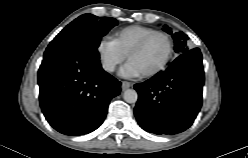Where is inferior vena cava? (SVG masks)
<instances>
[{"label": "inferior vena cava", "instance_id": "inferior-vena-cava-1", "mask_svg": "<svg viewBox=\"0 0 248 158\" xmlns=\"http://www.w3.org/2000/svg\"><path fill=\"white\" fill-rule=\"evenodd\" d=\"M103 68L106 71L112 72V71H114L115 65L112 64V63H106V64L103 65Z\"/></svg>", "mask_w": 248, "mask_h": 158}]
</instances>
